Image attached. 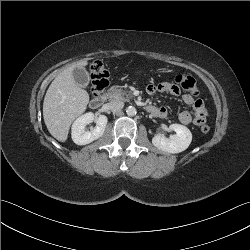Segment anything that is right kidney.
Returning <instances> with one entry per match:
<instances>
[{
	"instance_id": "1",
	"label": "right kidney",
	"mask_w": 250,
	"mask_h": 250,
	"mask_svg": "<svg viewBox=\"0 0 250 250\" xmlns=\"http://www.w3.org/2000/svg\"><path fill=\"white\" fill-rule=\"evenodd\" d=\"M96 121V127L93 130L86 131V125ZM108 119L105 115H99L95 118L92 112H88L86 114L78 117L71 128V137L74 143L77 145H86L94 140L100 138L106 128Z\"/></svg>"
}]
</instances>
